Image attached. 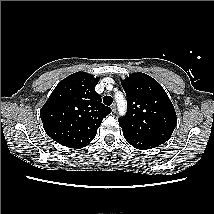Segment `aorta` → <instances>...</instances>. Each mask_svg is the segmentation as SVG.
I'll return each mask as SVG.
<instances>
[{
  "label": "aorta",
  "instance_id": "762f6f07",
  "mask_svg": "<svg viewBox=\"0 0 214 214\" xmlns=\"http://www.w3.org/2000/svg\"><path fill=\"white\" fill-rule=\"evenodd\" d=\"M116 101L118 105L119 114L124 115L127 108L125 99L123 98V96L120 97L119 95H117Z\"/></svg>",
  "mask_w": 214,
  "mask_h": 214
}]
</instances>
